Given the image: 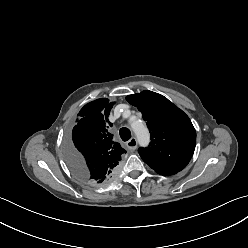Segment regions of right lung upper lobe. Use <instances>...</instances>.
<instances>
[{"mask_svg":"<svg viewBox=\"0 0 248 248\" xmlns=\"http://www.w3.org/2000/svg\"><path fill=\"white\" fill-rule=\"evenodd\" d=\"M113 105L114 102L109 103L106 98L88 103L79 112L80 117L72 131L73 168L77 161L85 179H101L91 184H104L111 180L103 181L115 169L118 171L126 153L119 143L113 141V135L109 132L112 123L108 121V116Z\"/></svg>","mask_w":248,"mask_h":248,"instance_id":"cb5924a9","label":"right lung upper lobe"}]
</instances>
